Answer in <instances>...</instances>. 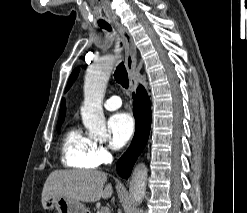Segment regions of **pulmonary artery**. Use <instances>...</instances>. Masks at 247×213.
<instances>
[{
  "instance_id": "1",
  "label": "pulmonary artery",
  "mask_w": 247,
  "mask_h": 213,
  "mask_svg": "<svg viewBox=\"0 0 247 213\" xmlns=\"http://www.w3.org/2000/svg\"><path fill=\"white\" fill-rule=\"evenodd\" d=\"M122 105V100L119 96H112L104 102V107L107 110H116Z\"/></svg>"
}]
</instances>
